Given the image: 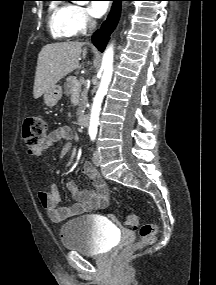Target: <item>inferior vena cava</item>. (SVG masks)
I'll list each match as a JSON object with an SVG mask.
<instances>
[{
  "label": "inferior vena cava",
  "mask_w": 216,
  "mask_h": 285,
  "mask_svg": "<svg viewBox=\"0 0 216 285\" xmlns=\"http://www.w3.org/2000/svg\"><path fill=\"white\" fill-rule=\"evenodd\" d=\"M88 27H89V30L92 31L93 29H95L96 27V21L92 18H89L88 20Z\"/></svg>",
  "instance_id": "obj_1"
}]
</instances>
